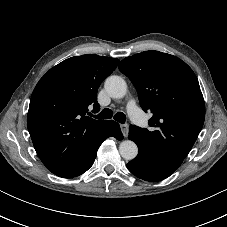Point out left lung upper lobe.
Instances as JSON below:
<instances>
[{
    "instance_id": "1",
    "label": "left lung upper lobe",
    "mask_w": 227,
    "mask_h": 227,
    "mask_svg": "<svg viewBox=\"0 0 227 227\" xmlns=\"http://www.w3.org/2000/svg\"><path fill=\"white\" fill-rule=\"evenodd\" d=\"M119 70L135 86L142 109L153 114L152 130L132 125L142 143L182 161L205 119L203 95L192 69L173 55L151 50L126 57Z\"/></svg>"
}]
</instances>
